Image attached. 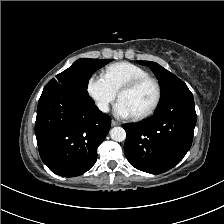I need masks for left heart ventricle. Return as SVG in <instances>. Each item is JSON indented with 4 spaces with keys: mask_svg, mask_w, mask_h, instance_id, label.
I'll return each mask as SVG.
<instances>
[{
    "mask_svg": "<svg viewBox=\"0 0 224 224\" xmlns=\"http://www.w3.org/2000/svg\"><path fill=\"white\" fill-rule=\"evenodd\" d=\"M155 88L152 83L144 82L131 91L123 92L119 99L124 101L134 115L145 111L153 102Z\"/></svg>",
    "mask_w": 224,
    "mask_h": 224,
    "instance_id": "obj_1",
    "label": "left heart ventricle"
}]
</instances>
